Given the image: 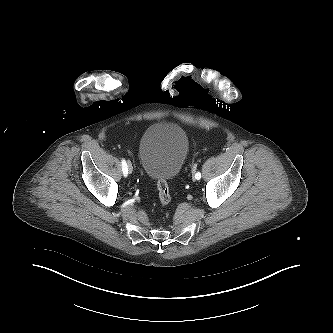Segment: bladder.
Wrapping results in <instances>:
<instances>
[{
    "instance_id": "obj_1",
    "label": "bladder",
    "mask_w": 333,
    "mask_h": 333,
    "mask_svg": "<svg viewBox=\"0 0 333 333\" xmlns=\"http://www.w3.org/2000/svg\"><path fill=\"white\" fill-rule=\"evenodd\" d=\"M189 151L186 132L177 124L157 122L145 129L138 144L139 161L145 176L152 180L174 179Z\"/></svg>"
}]
</instances>
